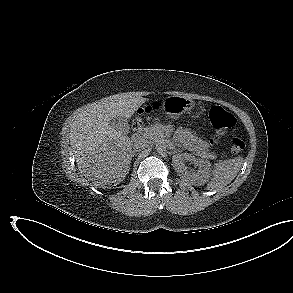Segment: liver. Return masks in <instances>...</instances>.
<instances>
[{"mask_svg": "<svg viewBox=\"0 0 293 293\" xmlns=\"http://www.w3.org/2000/svg\"><path fill=\"white\" fill-rule=\"evenodd\" d=\"M146 98L121 93L103 98L75 113L70 123V145L80 172L96 186L120 183L130 169L132 141L109 121L129 119Z\"/></svg>", "mask_w": 293, "mask_h": 293, "instance_id": "6515ba94", "label": "liver"}]
</instances>
